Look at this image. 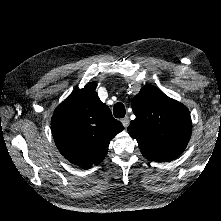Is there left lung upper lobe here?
<instances>
[{"instance_id":"left-lung-upper-lobe-1","label":"left lung upper lobe","mask_w":221,"mask_h":221,"mask_svg":"<svg viewBox=\"0 0 221 221\" xmlns=\"http://www.w3.org/2000/svg\"><path fill=\"white\" fill-rule=\"evenodd\" d=\"M136 119L128 133L148 160L166 162L181 154L191 136L188 109L152 85H145L132 100Z\"/></svg>"}]
</instances>
